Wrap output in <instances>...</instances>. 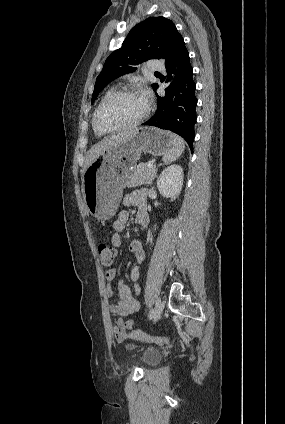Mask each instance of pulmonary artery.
<instances>
[{"label": "pulmonary artery", "mask_w": 285, "mask_h": 424, "mask_svg": "<svg viewBox=\"0 0 285 424\" xmlns=\"http://www.w3.org/2000/svg\"><path fill=\"white\" fill-rule=\"evenodd\" d=\"M148 69L151 71L161 72L165 70V66L159 61L151 60L148 62Z\"/></svg>", "instance_id": "e3ab8cb5"}]
</instances>
